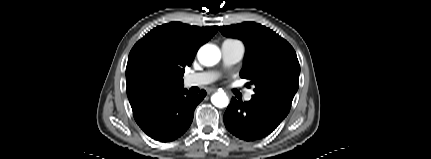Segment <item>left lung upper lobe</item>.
Wrapping results in <instances>:
<instances>
[{"label":"left lung upper lobe","instance_id":"1","mask_svg":"<svg viewBox=\"0 0 431 159\" xmlns=\"http://www.w3.org/2000/svg\"><path fill=\"white\" fill-rule=\"evenodd\" d=\"M226 37L244 42L246 52L240 76L255 85L252 97L269 99L290 108L298 90L300 65L292 46L273 30L255 22L221 26Z\"/></svg>","mask_w":431,"mask_h":159}]
</instances>
